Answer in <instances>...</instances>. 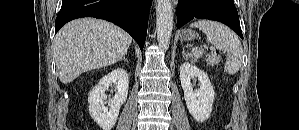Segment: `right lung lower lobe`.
Segmentation results:
<instances>
[{
	"label": "right lung lower lobe",
	"mask_w": 299,
	"mask_h": 130,
	"mask_svg": "<svg viewBox=\"0 0 299 130\" xmlns=\"http://www.w3.org/2000/svg\"><path fill=\"white\" fill-rule=\"evenodd\" d=\"M151 0H63L55 32L65 23L81 17L108 20L127 31L144 47Z\"/></svg>",
	"instance_id": "obj_1"
}]
</instances>
